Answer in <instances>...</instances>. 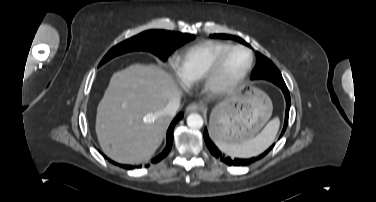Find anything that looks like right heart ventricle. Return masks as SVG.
<instances>
[{
    "instance_id": "obj_1",
    "label": "right heart ventricle",
    "mask_w": 376,
    "mask_h": 202,
    "mask_svg": "<svg viewBox=\"0 0 376 202\" xmlns=\"http://www.w3.org/2000/svg\"><path fill=\"white\" fill-rule=\"evenodd\" d=\"M229 43L207 40L182 51L176 59V69L187 85H194L204 79L207 71L227 48Z\"/></svg>"
}]
</instances>
